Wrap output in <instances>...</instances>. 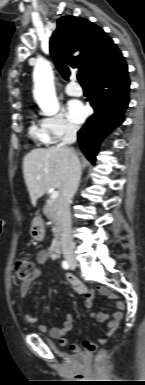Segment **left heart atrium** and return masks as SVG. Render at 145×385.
<instances>
[{"instance_id": "obj_1", "label": "left heart atrium", "mask_w": 145, "mask_h": 385, "mask_svg": "<svg viewBox=\"0 0 145 385\" xmlns=\"http://www.w3.org/2000/svg\"><path fill=\"white\" fill-rule=\"evenodd\" d=\"M67 112L69 118L75 123H81L87 116L85 106L78 100H72L68 103Z\"/></svg>"}]
</instances>
